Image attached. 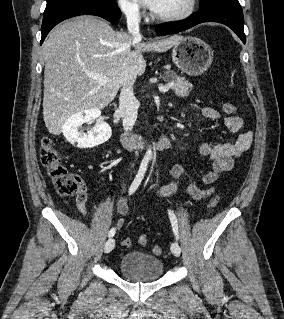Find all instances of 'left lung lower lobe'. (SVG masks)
<instances>
[{
    "label": "left lung lower lobe",
    "mask_w": 284,
    "mask_h": 319,
    "mask_svg": "<svg viewBox=\"0 0 284 319\" xmlns=\"http://www.w3.org/2000/svg\"><path fill=\"white\" fill-rule=\"evenodd\" d=\"M203 22H218L230 27L238 37L246 43L244 34V17L239 3H219L206 9L193 13L187 19L174 22L159 24L155 31L159 35H169L189 29Z\"/></svg>",
    "instance_id": "left-lung-lower-lobe-1"
}]
</instances>
